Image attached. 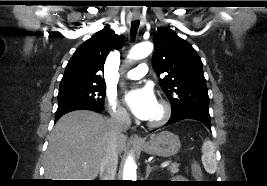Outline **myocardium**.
Wrapping results in <instances>:
<instances>
[{"label":"myocardium","mask_w":267,"mask_h":186,"mask_svg":"<svg viewBox=\"0 0 267 186\" xmlns=\"http://www.w3.org/2000/svg\"><path fill=\"white\" fill-rule=\"evenodd\" d=\"M158 105L160 106L161 109L160 116L157 119L148 121L146 123L147 126L150 128H158L163 126L165 123H167V121L171 117L172 109L167 101L161 99L158 101Z\"/></svg>","instance_id":"obj_1"}]
</instances>
